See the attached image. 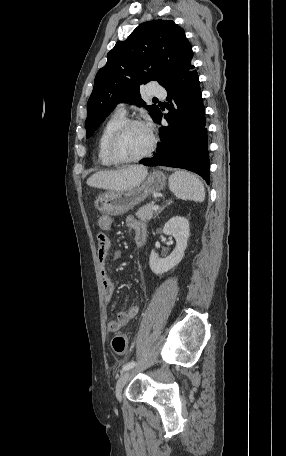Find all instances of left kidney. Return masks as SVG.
<instances>
[{
    "instance_id": "obj_1",
    "label": "left kidney",
    "mask_w": 286,
    "mask_h": 456,
    "mask_svg": "<svg viewBox=\"0 0 286 456\" xmlns=\"http://www.w3.org/2000/svg\"><path fill=\"white\" fill-rule=\"evenodd\" d=\"M189 231V222L184 217L176 216L165 223L163 233L175 238L176 247L166 258L159 257L155 250L151 251L149 265L153 273L163 274L181 262L187 247Z\"/></svg>"
}]
</instances>
